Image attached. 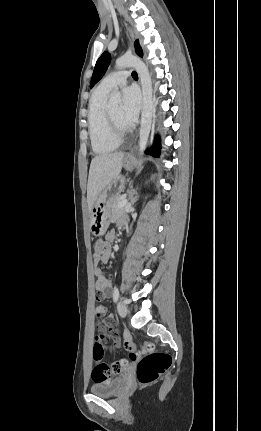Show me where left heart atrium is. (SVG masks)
Here are the masks:
<instances>
[{
	"mask_svg": "<svg viewBox=\"0 0 261 431\" xmlns=\"http://www.w3.org/2000/svg\"><path fill=\"white\" fill-rule=\"evenodd\" d=\"M140 109V95L135 87L129 86L122 90V106L120 118L126 128H130L137 120Z\"/></svg>",
	"mask_w": 261,
	"mask_h": 431,
	"instance_id": "obj_1",
	"label": "left heart atrium"
}]
</instances>
